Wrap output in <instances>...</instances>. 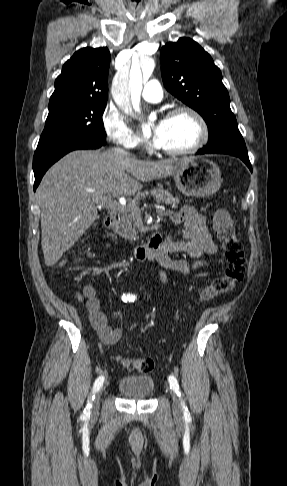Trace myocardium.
I'll return each mask as SVG.
<instances>
[{"label":"myocardium","mask_w":287,"mask_h":486,"mask_svg":"<svg viewBox=\"0 0 287 486\" xmlns=\"http://www.w3.org/2000/svg\"><path fill=\"white\" fill-rule=\"evenodd\" d=\"M179 115H188L194 119L198 126L199 134L196 142L188 147L181 149H163L158 147L157 150L167 156H184L192 154L206 145L209 139L208 125L203 116L195 109L187 106H181L168 112L165 119H171Z\"/></svg>","instance_id":"myocardium-1"}]
</instances>
